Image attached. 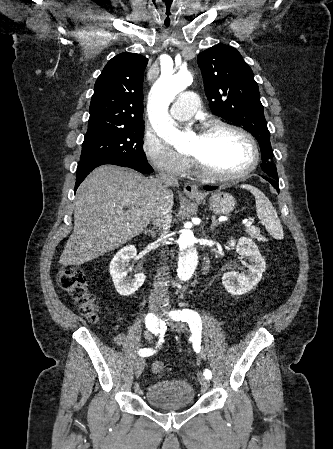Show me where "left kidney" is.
Returning a JSON list of instances; mask_svg holds the SVG:
<instances>
[{
    "mask_svg": "<svg viewBox=\"0 0 333 449\" xmlns=\"http://www.w3.org/2000/svg\"><path fill=\"white\" fill-rule=\"evenodd\" d=\"M230 246H235L236 241L230 240ZM236 252L240 258H248L251 264L248 265L247 274H238L229 271L223 274L222 284L224 288L233 295H242L252 290L261 280L265 271L266 263L260 251L252 239L241 237L236 245Z\"/></svg>",
    "mask_w": 333,
    "mask_h": 449,
    "instance_id": "left-kidney-1",
    "label": "left kidney"
}]
</instances>
